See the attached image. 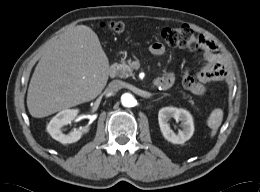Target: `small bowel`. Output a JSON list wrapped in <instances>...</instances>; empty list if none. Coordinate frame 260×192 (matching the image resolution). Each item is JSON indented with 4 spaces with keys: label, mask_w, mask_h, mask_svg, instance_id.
Returning a JSON list of instances; mask_svg holds the SVG:
<instances>
[{
    "label": "small bowel",
    "mask_w": 260,
    "mask_h": 192,
    "mask_svg": "<svg viewBox=\"0 0 260 192\" xmlns=\"http://www.w3.org/2000/svg\"><path fill=\"white\" fill-rule=\"evenodd\" d=\"M204 41V53L206 65L196 74V89L191 91L195 95H203L206 92L204 83L221 81L226 77V69L223 59L214 43L202 37ZM150 52L155 56H160L165 52V47L159 42L150 46ZM162 83V89H167L174 83L175 77L171 72H164L159 78Z\"/></svg>",
    "instance_id": "obj_1"
}]
</instances>
